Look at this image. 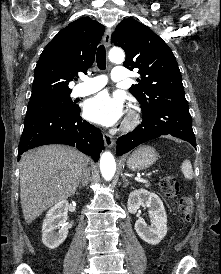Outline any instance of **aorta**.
<instances>
[{"instance_id": "1", "label": "aorta", "mask_w": 221, "mask_h": 274, "mask_svg": "<svg viewBox=\"0 0 221 274\" xmlns=\"http://www.w3.org/2000/svg\"><path fill=\"white\" fill-rule=\"evenodd\" d=\"M125 59L124 51L120 48H113L109 51V60L115 63H122ZM100 170L105 180H111L116 171V162L110 152H104L100 158Z\"/></svg>"}]
</instances>
